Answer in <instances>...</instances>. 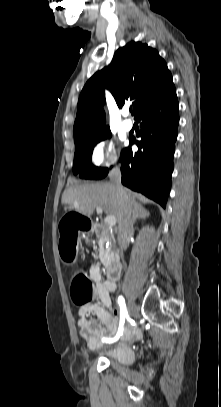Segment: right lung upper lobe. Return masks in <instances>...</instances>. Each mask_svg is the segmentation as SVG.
Wrapping results in <instances>:
<instances>
[{
  "instance_id": "cb5924a9",
  "label": "right lung upper lobe",
  "mask_w": 221,
  "mask_h": 407,
  "mask_svg": "<svg viewBox=\"0 0 221 407\" xmlns=\"http://www.w3.org/2000/svg\"><path fill=\"white\" fill-rule=\"evenodd\" d=\"M172 75L159 53L141 42L119 48L108 67L98 71L85 84L77 106L74 142L79 143L109 131L105 126V88L121 108L133 105L136 116L173 87Z\"/></svg>"
}]
</instances>
